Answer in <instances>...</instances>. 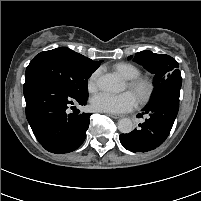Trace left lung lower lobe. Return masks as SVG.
Returning <instances> with one entry per match:
<instances>
[{
  "mask_svg": "<svg viewBox=\"0 0 201 201\" xmlns=\"http://www.w3.org/2000/svg\"><path fill=\"white\" fill-rule=\"evenodd\" d=\"M180 94L167 92L139 113L147 119L128 134L120 135V142L132 152H147L159 147L168 137L179 109Z\"/></svg>",
  "mask_w": 201,
  "mask_h": 201,
  "instance_id": "0a47b994",
  "label": "left lung lower lobe"
}]
</instances>
